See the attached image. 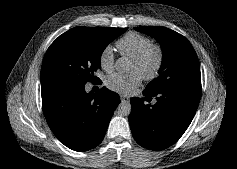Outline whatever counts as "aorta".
I'll use <instances>...</instances> for the list:
<instances>
[{"instance_id":"aorta-1","label":"aorta","mask_w":237,"mask_h":169,"mask_svg":"<svg viewBox=\"0 0 237 169\" xmlns=\"http://www.w3.org/2000/svg\"><path fill=\"white\" fill-rule=\"evenodd\" d=\"M115 69L120 73L128 72L130 70V62L127 58L121 57L115 62ZM131 110L132 107L128 101H122L117 107V112L120 116H128Z\"/></svg>"}]
</instances>
